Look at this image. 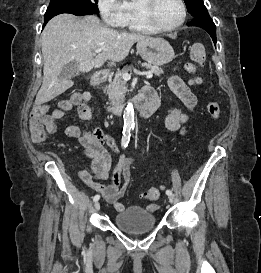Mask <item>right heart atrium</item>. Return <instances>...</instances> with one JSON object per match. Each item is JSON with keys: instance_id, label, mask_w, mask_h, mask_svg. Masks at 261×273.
I'll return each mask as SVG.
<instances>
[{"instance_id": "d8ad5b80", "label": "right heart atrium", "mask_w": 261, "mask_h": 273, "mask_svg": "<svg viewBox=\"0 0 261 273\" xmlns=\"http://www.w3.org/2000/svg\"><path fill=\"white\" fill-rule=\"evenodd\" d=\"M98 9L103 21L110 26H119L122 10V0H97Z\"/></svg>"}]
</instances>
